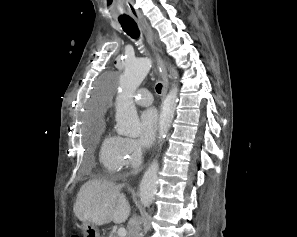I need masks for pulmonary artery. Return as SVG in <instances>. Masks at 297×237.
I'll list each match as a JSON object with an SVG mask.
<instances>
[{"label":"pulmonary artery","mask_w":297,"mask_h":237,"mask_svg":"<svg viewBox=\"0 0 297 237\" xmlns=\"http://www.w3.org/2000/svg\"><path fill=\"white\" fill-rule=\"evenodd\" d=\"M135 102L141 106H149L153 103L152 95L149 90H139L135 96Z\"/></svg>","instance_id":"1"}]
</instances>
